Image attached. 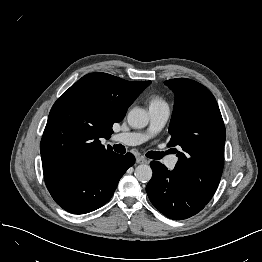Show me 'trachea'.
Returning <instances> with one entry per match:
<instances>
[{
	"label": "trachea",
	"mask_w": 262,
	"mask_h": 262,
	"mask_svg": "<svg viewBox=\"0 0 262 262\" xmlns=\"http://www.w3.org/2000/svg\"><path fill=\"white\" fill-rule=\"evenodd\" d=\"M114 149L119 153H123L125 150L121 144L116 145ZM146 156L151 159H161L163 157V152L149 151L146 153Z\"/></svg>",
	"instance_id": "trachea-1"
}]
</instances>
